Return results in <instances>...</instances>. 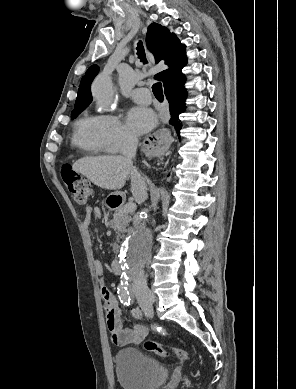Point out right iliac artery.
Masks as SVG:
<instances>
[{
	"label": "right iliac artery",
	"mask_w": 296,
	"mask_h": 389,
	"mask_svg": "<svg viewBox=\"0 0 296 389\" xmlns=\"http://www.w3.org/2000/svg\"><path fill=\"white\" fill-rule=\"evenodd\" d=\"M118 295H119V298L121 300V302L124 304V305H127L129 306L131 304V297H130V293L127 289V287L125 288H121V289H118Z\"/></svg>",
	"instance_id": "right-iliac-artery-1"
}]
</instances>
